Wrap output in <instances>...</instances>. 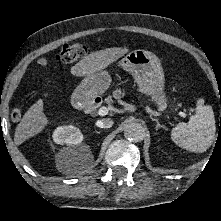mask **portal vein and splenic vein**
Instances as JSON below:
<instances>
[{"mask_svg":"<svg viewBox=\"0 0 221 221\" xmlns=\"http://www.w3.org/2000/svg\"><path fill=\"white\" fill-rule=\"evenodd\" d=\"M108 111H109V109H108L107 107L103 106V107L99 108V110H98V115H99V116H105V115L108 114ZM190 114H191V113H190ZM179 115H180L181 117H184V118H185V117L187 116V113H186V112L179 111Z\"/></svg>","mask_w":221,"mask_h":221,"instance_id":"portal-vein-and-splenic-vein-1","label":"portal vein and splenic vein"}]
</instances>
